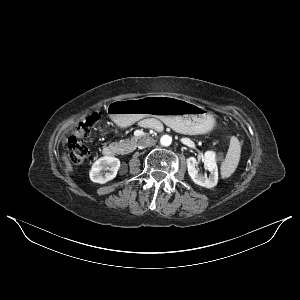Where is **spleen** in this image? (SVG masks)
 Returning <instances> with one entry per match:
<instances>
[{
	"label": "spleen",
	"instance_id": "obj_1",
	"mask_svg": "<svg viewBox=\"0 0 300 300\" xmlns=\"http://www.w3.org/2000/svg\"><path fill=\"white\" fill-rule=\"evenodd\" d=\"M241 154V144L239 140L232 136L230 145L224 161L221 164V177L229 178L236 170Z\"/></svg>",
	"mask_w": 300,
	"mask_h": 300
}]
</instances>
